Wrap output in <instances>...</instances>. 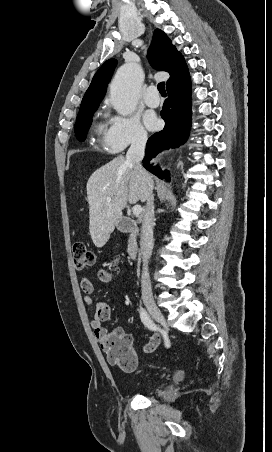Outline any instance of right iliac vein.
Masks as SVG:
<instances>
[{
	"instance_id": "63e3f726",
	"label": "right iliac vein",
	"mask_w": 272,
	"mask_h": 452,
	"mask_svg": "<svg viewBox=\"0 0 272 452\" xmlns=\"http://www.w3.org/2000/svg\"><path fill=\"white\" fill-rule=\"evenodd\" d=\"M145 305L148 309V311L150 312V314L152 315V317L159 323L161 324L164 328L167 329V323L166 320L161 312V310L157 307V305L152 302V301H146Z\"/></svg>"
}]
</instances>
